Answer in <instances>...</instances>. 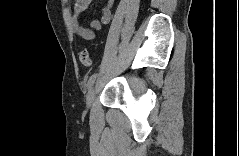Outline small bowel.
Wrapping results in <instances>:
<instances>
[{
    "label": "small bowel",
    "mask_w": 239,
    "mask_h": 156,
    "mask_svg": "<svg viewBox=\"0 0 239 156\" xmlns=\"http://www.w3.org/2000/svg\"><path fill=\"white\" fill-rule=\"evenodd\" d=\"M90 0H76L73 6V28L75 34L85 40H92L95 36V31H99L102 27L109 23L111 19L113 2L110 1L108 5L100 10V19H93L89 21L90 27H85L82 24L84 13L89 6Z\"/></svg>",
    "instance_id": "c3829d8e"
}]
</instances>
